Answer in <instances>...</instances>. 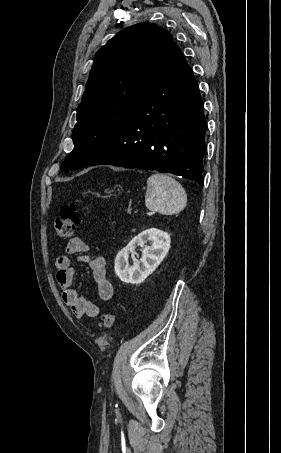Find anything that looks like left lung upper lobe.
Masks as SVG:
<instances>
[{"label": "left lung upper lobe", "mask_w": 281, "mask_h": 453, "mask_svg": "<svg viewBox=\"0 0 281 453\" xmlns=\"http://www.w3.org/2000/svg\"><path fill=\"white\" fill-rule=\"evenodd\" d=\"M172 35L143 22L120 31L95 55L77 123L73 151L61 168L79 169L96 159L135 111L167 61Z\"/></svg>", "instance_id": "5c2ea615"}]
</instances>
